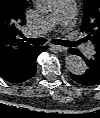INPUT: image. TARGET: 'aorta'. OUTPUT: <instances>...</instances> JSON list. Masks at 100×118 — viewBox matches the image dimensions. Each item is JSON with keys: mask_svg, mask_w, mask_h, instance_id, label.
Returning a JSON list of instances; mask_svg holds the SVG:
<instances>
[{"mask_svg": "<svg viewBox=\"0 0 100 118\" xmlns=\"http://www.w3.org/2000/svg\"><path fill=\"white\" fill-rule=\"evenodd\" d=\"M37 9L42 13H50L54 11L58 5V0H36ZM67 69L75 75L83 74L87 65L84 60L76 55H67L65 57Z\"/></svg>", "mask_w": 100, "mask_h": 118, "instance_id": "aorta-1", "label": "aorta"}]
</instances>
